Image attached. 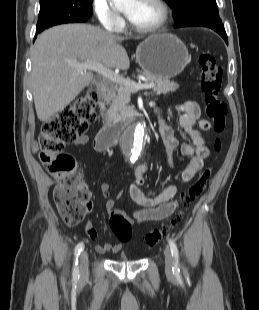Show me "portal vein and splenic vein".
Segmentation results:
<instances>
[{"instance_id":"portal-vein-and-splenic-vein-1","label":"portal vein and splenic vein","mask_w":259,"mask_h":310,"mask_svg":"<svg viewBox=\"0 0 259 310\" xmlns=\"http://www.w3.org/2000/svg\"><path fill=\"white\" fill-rule=\"evenodd\" d=\"M70 64L78 70H91L101 74L103 77L109 79L114 83H118L131 92H136L140 89H151L155 85L153 83H135L129 79H125L124 77L118 75L114 71L105 67L102 63L94 62V61H85L82 63L78 62H70Z\"/></svg>"}]
</instances>
